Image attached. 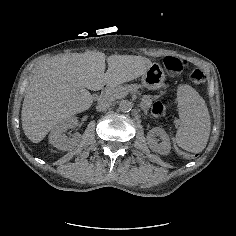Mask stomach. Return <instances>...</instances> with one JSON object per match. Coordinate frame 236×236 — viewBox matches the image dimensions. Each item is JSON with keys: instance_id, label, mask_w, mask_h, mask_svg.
Wrapping results in <instances>:
<instances>
[{"instance_id": "1", "label": "stomach", "mask_w": 236, "mask_h": 236, "mask_svg": "<svg viewBox=\"0 0 236 236\" xmlns=\"http://www.w3.org/2000/svg\"><path fill=\"white\" fill-rule=\"evenodd\" d=\"M165 74L161 66L154 64L142 76V84L144 87L155 90L163 86Z\"/></svg>"}]
</instances>
